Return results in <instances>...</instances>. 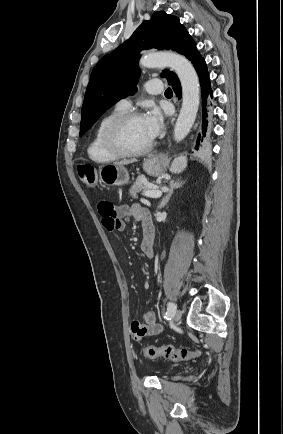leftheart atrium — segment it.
Returning a JSON list of instances; mask_svg holds the SVG:
<instances>
[{
	"label": "left heart atrium",
	"instance_id": "obj_1",
	"mask_svg": "<svg viewBox=\"0 0 283 434\" xmlns=\"http://www.w3.org/2000/svg\"><path fill=\"white\" fill-rule=\"evenodd\" d=\"M142 118L146 132L149 138L153 140L162 130V115L157 108H152Z\"/></svg>",
	"mask_w": 283,
	"mask_h": 434
}]
</instances>
